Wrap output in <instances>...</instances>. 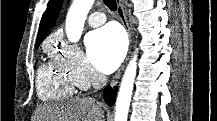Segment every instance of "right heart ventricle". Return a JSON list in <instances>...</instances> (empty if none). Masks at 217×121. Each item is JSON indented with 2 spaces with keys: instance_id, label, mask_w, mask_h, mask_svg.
Here are the masks:
<instances>
[{
  "instance_id": "1",
  "label": "right heart ventricle",
  "mask_w": 217,
  "mask_h": 121,
  "mask_svg": "<svg viewBox=\"0 0 217 121\" xmlns=\"http://www.w3.org/2000/svg\"><path fill=\"white\" fill-rule=\"evenodd\" d=\"M37 93L43 101H59L74 93V81L55 61L40 66L36 80Z\"/></svg>"
}]
</instances>
